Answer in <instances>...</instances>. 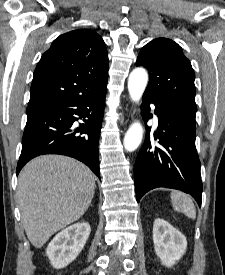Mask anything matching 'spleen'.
<instances>
[{"mask_svg":"<svg viewBox=\"0 0 225 275\" xmlns=\"http://www.w3.org/2000/svg\"><path fill=\"white\" fill-rule=\"evenodd\" d=\"M171 203L175 211L185 214L191 219L196 218V209L190 197L178 191L171 193Z\"/></svg>","mask_w":225,"mask_h":275,"instance_id":"3e777b00","label":"spleen"}]
</instances>
